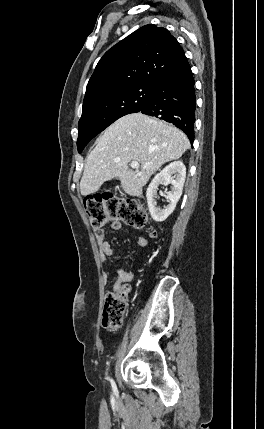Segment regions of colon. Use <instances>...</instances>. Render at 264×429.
Returning <instances> with one entry per match:
<instances>
[{"mask_svg": "<svg viewBox=\"0 0 264 429\" xmlns=\"http://www.w3.org/2000/svg\"><path fill=\"white\" fill-rule=\"evenodd\" d=\"M85 211L90 224L96 232L110 220H120L135 229L143 228L148 221L146 210L136 201L121 198L112 194L89 195L84 200ZM156 237L155 230L150 231ZM130 292L129 285H123L105 295L102 325L108 330L122 327Z\"/></svg>", "mask_w": 264, "mask_h": 429, "instance_id": "colon-1", "label": "colon"}]
</instances>
